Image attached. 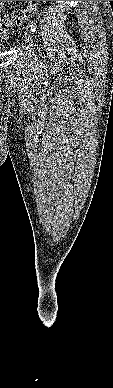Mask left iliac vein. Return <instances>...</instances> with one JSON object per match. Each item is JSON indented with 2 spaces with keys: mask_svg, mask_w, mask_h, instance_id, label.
Here are the masks:
<instances>
[{
  "mask_svg": "<svg viewBox=\"0 0 113 388\" xmlns=\"http://www.w3.org/2000/svg\"><path fill=\"white\" fill-rule=\"evenodd\" d=\"M25 39H26L27 43H28L31 47L34 46V41H35V40H34V35H33L32 31H31L30 26H27V27H26V31H25Z\"/></svg>",
  "mask_w": 113,
  "mask_h": 388,
  "instance_id": "left-iliac-vein-1",
  "label": "left iliac vein"
}]
</instances>
